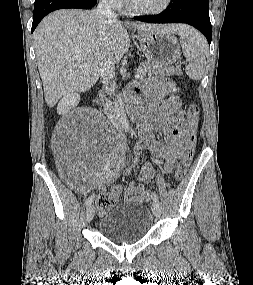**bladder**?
<instances>
[{"label": "bladder", "instance_id": "bladder-1", "mask_svg": "<svg viewBox=\"0 0 253 285\" xmlns=\"http://www.w3.org/2000/svg\"><path fill=\"white\" fill-rule=\"evenodd\" d=\"M153 225L149 207L139 201H124L106 209L99 221V231L116 243L143 239Z\"/></svg>", "mask_w": 253, "mask_h": 285}]
</instances>
